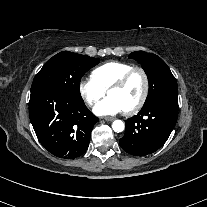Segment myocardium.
Instances as JSON below:
<instances>
[{
  "label": "myocardium",
  "instance_id": "f54148a6",
  "mask_svg": "<svg viewBox=\"0 0 207 207\" xmlns=\"http://www.w3.org/2000/svg\"><path fill=\"white\" fill-rule=\"evenodd\" d=\"M135 74H140L142 76L143 82H144V89H143V93L140 99L136 102V104H134L131 108L124 111L126 115L135 114L145 104L148 98V95H149V90H150V82H149L148 74L141 67H133L129 71H127L125 74H123L120 78H118L114 83H112L108 88V92L112 89L122 88L123 86L126 85V83L130 80V78Z\"/></svg>",
  "mask_w": 207,
  "mask_h": 207
}]
</instances>
